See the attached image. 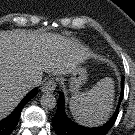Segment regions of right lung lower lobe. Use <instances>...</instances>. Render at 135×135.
<instances>
[{"label":"right lung lower lobe","mask_w":135,"mask_h":135,"mask_svg":"<svg viewBox=\"0 0 135 135\" xmlns=\"http://www.w3.org/2000/svg\"><path fill=\"white\" fill-rule=\"evenodd\" d=\"M37 94V88L28 93L16 109L4 120L0 121V135H9L18 123L23 107Z\"/></svg>","instance_id":"98d812e1"}]
</instances>
